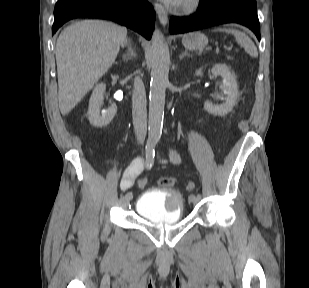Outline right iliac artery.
Returning <instances> with one entry per match:
<instances>
[{
  "mask_svg": "<svg viewBox=\"0 0 309 288\" xmlns=\"http://www.w3.org/2000/svg\"><path fill=\"white\" fill-rule=\"evenodd\" d=\"M155 144H156V140L154 139H149L147 141V144H146V165L144 166V169L146 171H149L151 169V166L154 162V156H155ZM127 196H130L132 195V190H127Z\"/></svg>",
  "mask_w": 309,
  "mask_h": 288,
  "instance_id": "right-iliac-artery-1",
  "label": "right iliac artery"
}]
</instances>
